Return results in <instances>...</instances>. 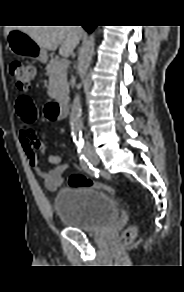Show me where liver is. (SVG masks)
I'll list each match as a JSON object with an SVG mask.
<instances>
[{"instance_id":"liver-1","label":"liver","mask_w":184,"mask_h":292,"mask_svg":"<svg viewBox=\"0 0 184 292\" xmlns=\"http://www.w3.org/2000/svg\"><path fill=\"white\" fill-rule=\"evenodd\" d=\"M14 29L27 33L45 50L55 51L60 46L63 57H68L81 39L80 26H10L6 35Z\"/></svg>"}]
</instances>
